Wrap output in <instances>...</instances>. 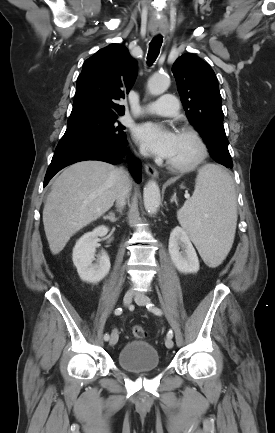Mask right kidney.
<instances>
[{
    "label": "right kidney",
    "mask_w": 275,
    "mask_h": 433,
    "mask_svg": "<svg viewBox=\"0 0 275 433\" xmlns=\"http://www.w3.org/2000/svg\"><path fill=\"white\" fill-rule=\"evenodd\" d=\"M108 231L106 226H99L84 234L73 248V263L83 281L97 283L109 273L111 265L107 253L103 252L98 258V263L93 264L98 237L106 236Z\"/></svg>",
    "instance_id": "right-kidney-1"
}]
</instances>
